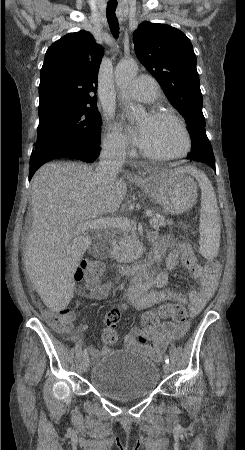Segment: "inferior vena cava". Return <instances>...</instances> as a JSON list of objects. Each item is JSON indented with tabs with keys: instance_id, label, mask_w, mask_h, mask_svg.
Listing matches in <instances>:
<instances>
[{
	"instance_id": "obj_1",
	"label": "inferior vena cava",
	"mask_w": 245,
	"mask_h": 450,
	"mask_svg": "<svg viewBox=\"0 0 245 450\" xmlns=\"http://www.w3.org/2000/svg\"><path fill=\"white\" fill-rule=\"evenodd\" d=\"M125 156L126 149L123 142L112 141L103 146L95 174L107 187L114 184L117 174L124 164Z\"/></svg>"
}]
</instances>
